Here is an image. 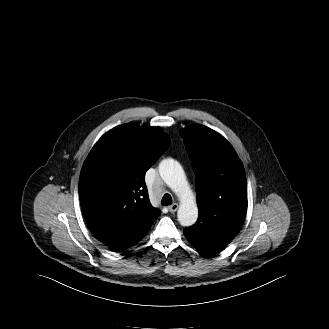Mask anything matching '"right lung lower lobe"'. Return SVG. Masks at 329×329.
Wrapping results in <instances>:
<instances>
[{
  "label": "right lung lower lobe",
  "mask_w": 329,
  "mask_h": 329,
  "mask_svg": "<svg viewBox=\"0 0 329 329\" xmlns=\"http://www.w3.org/2000/svg\"><path fill=\"white\" fill-rule=\"evenodd\" d=\"M145 236V235H144ZM143 237V236H142ZM141 237V238H142ZM141 238L133 241V242H130V243H121V244H116V245H113V246H110L114 251H123V250H126L127 248H129L130 246H133L135 245Z\"/></svg>",
  "instance_id": "right-lung-lower-lobe-1"
}]
</instances>
